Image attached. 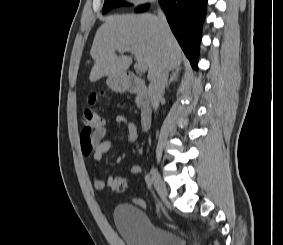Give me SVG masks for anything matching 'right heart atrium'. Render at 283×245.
I'll return each instance as SVG.
<instances>
[{"label": "right heart atrium", "mask_w": 283, "mask_h": 245, "mask_svg": "<svg viewBox=\"0 0 283 245\" xmlns=\"http://www.w3.org/2000/svg\"><path fill=\"white\" fill-rule=\"evenodd\" d=\"M128 1L135 6H142L155 2L156 0H128Z\"/></svg>", "instance_id": "right-heart-atrium-1"}]
</instances>
